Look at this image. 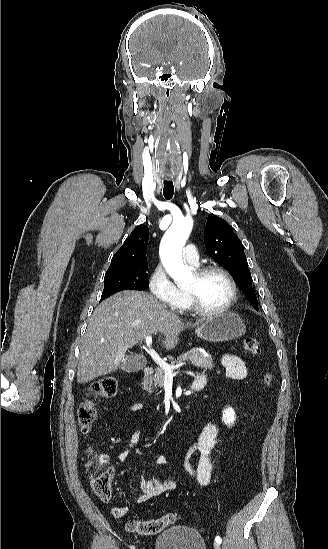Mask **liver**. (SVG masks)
Here are the masks:
<instances>
[{"label":"liver","mask_w":328,"mask_h":549,"mask_svg":"<svg viewBox=\"0 0 328 549\" xmlns=\"http://www.w3.org/2000/svg\"><path fill=\"white\" fill-rule=\"evenodd\" d=\"M204 323H183L167 305L144 291H121L96 307L80 343L77 383L110 375L126 363L128 349L160 333L165 349H175L179 335Z\"/></svg>","instance_id":"liver-1"}]
</instances>
